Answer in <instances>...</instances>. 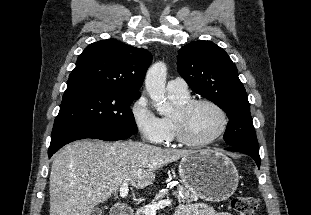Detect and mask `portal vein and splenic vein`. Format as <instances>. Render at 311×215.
<instances>
[{"label": "portal vein and splenic vein", "mask_w": 311, "mask_h": 215, "mask_svg": "<svg viewBox=\"0 0 311 215\" xmlns=\"http://www.w3.org/2000/svg\"><path fill=\"white\" fill-rule=\"evenodd\" d=\"M128 183L127 182H123L120 185V196L122 198H125L128 195ZM171 200L167 199V200H161L159 202H156L154 204H150L145 206V215H156V210L159 208H163L166 206L171 205Z\"/></svg>", "instance_id": "obj_1"}]
</instances>
